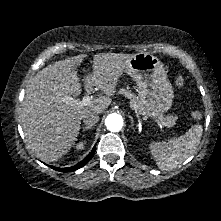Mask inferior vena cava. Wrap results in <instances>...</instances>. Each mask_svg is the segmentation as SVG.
Instances as JSON below:
<instances>
[{
	"instance_id": "inferior-vena-cava-1",
	"label": "inferior vena cava",
	"mask_w": 221,
	"mask_h": 221,
	"mask_svg": "<svg viewBox=\"0 0 221 221\" xmlns=\"http://www.w3.org/2000/svg\"><path fill=\"white\" fill-rule=\"evenodd\" d=\"M83 123L87 126H94L99 121V113L90 111L83 115Z\"/></svg>"
}]
</instances>
